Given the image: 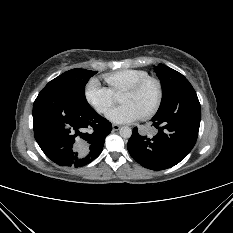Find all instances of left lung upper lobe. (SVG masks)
<instances>
[{"instance_id": "obj_1", "label": "left lung upper lobe", "mask_w": 233, "mask_h": 233, "mask_svg": "<svg viewBox=\"0 0 233 233\" xmlns=\"http://www.w3.org/2000/svg\"><path fill=\"white\" fill-rule=\"evenodd\" d=\"M154 70L158 75L162 85V100L157 111L160 112L174 96L178 87L188 80L181 73L164 64L155 66Z\"/></svg>"}]
</instances>
